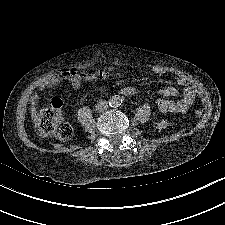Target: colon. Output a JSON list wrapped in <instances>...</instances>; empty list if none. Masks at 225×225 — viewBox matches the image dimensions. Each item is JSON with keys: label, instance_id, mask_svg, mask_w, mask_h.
I'll use <instances>...</instances> for the list:
<instances>
[{"label": "colon", "instance_id": "1", "mask_svg": "<svg viewBox=\"0 0 225 225\" xmlns=\"http://www.w3.org/2000/svg\"><path fill=\"white\" fill-rule=\"evenodd\" d=\"M70 71L63 72L61 75L68 77ZM168 126L165 120L156 124L159 130H163ZM36 127L40 134L44 136H55L60 140H67L73 134L71 125L64 120L62 111V102L59 99L53 100L52 104L42 110L36 116Z\"/></svg>", "mask_w": 225, "mask_h": 225}]
</instances>
